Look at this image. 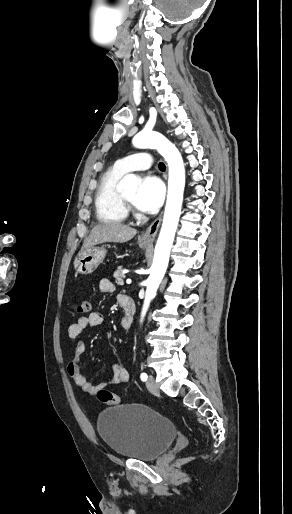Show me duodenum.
<instances>
[{"instance_id":"duodenum-1","label":"duodenum","mask_w":292,"mask_h":514,"mask_svg":"<svg viewBox=\"0 0 292 514\" xmlns=\"http://www.w3.org/2000/svg\"><path fill=\"white\" fill-rule=\"evenodd\" d=\"M118 301L120 306L126 311L123 329L129 330L131 328L133 316L135 314L134 299L129 295H119Z\"/></svg>"}]
</instances>
